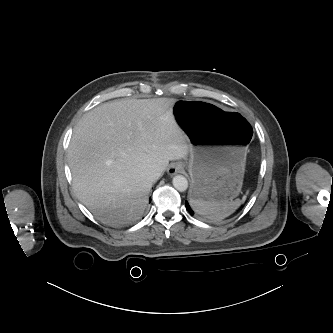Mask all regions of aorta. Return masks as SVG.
I'll use <instances>...</instances> for the list:
<instances>
[{
	"mask_svg": "<svg viewBox=\"0 0 333 333\" xmlns=\"http://www.w3.org/2000/svg\"><path fill=\"white\" fill-rule=\"evenodd\" d=\"M173 186L178 190V191H185L188 188V181L187 179L182 176V175H176L173 177L172 180Z\"/></svg>",
	"mask_w": 333,
	"mask_h": 333,
	"instance_id": "obj_1",
	"label": "aorta"
}]
</instances>
